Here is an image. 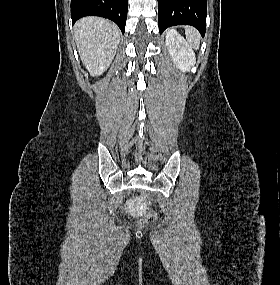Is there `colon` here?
Returning a JSON list of instances; mask_svg holds the SVG:
<instances>
[{
  "instance_id": "1",
  "label": "colon",
  "mask_w": 280,
  "mask_h": 285,
  "mask_svg": "<svg viewBox=\"0 0 280 285\" xmlns=\"http://www.w3.org/2000/svg\"><path fill=\"white\" fill-rule=\"evenodd\" d=\"M140 202L143 207L145 208H150L152 205V198L147 192L141 193L140 197ZM157 220L156 215L152 211H148L146 213V223L151 224L154 223Z\"/></svg>"
}]
</instances>
